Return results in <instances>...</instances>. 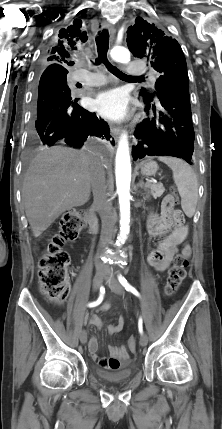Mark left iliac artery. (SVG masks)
Masks as SVG:
<instances>
[{
	"label": "left iliac artery",
	"instance_id": "44dca946",
	"mask_svg": "<svg viewBox=\"0 0 222 429\" xmlns=\"http://www.w3.org/2000/svg\"><path fill=\"white\" fill-rule=\"evenodd\" d=\"M118 280L121 283V285L126 289V291L133 293L137 297H140L139 292L134 287H132L122 275H118ZM142 324H143V320L140 317L139 321H138V329H139L140 334L143 333V325Z\"/></svg>",
	"mask_w": 222,
	"mask_h": 429
}]
</instances>
